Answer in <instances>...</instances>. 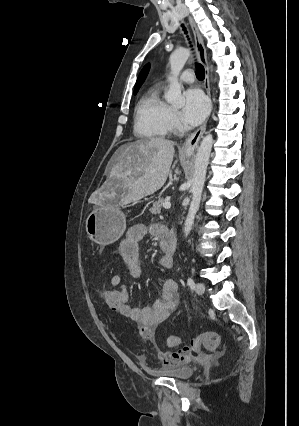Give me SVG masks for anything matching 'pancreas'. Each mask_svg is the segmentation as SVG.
Instances as JSON below:
<instances>
[{"instance_id": "obj_1", "label": "pancreas", "mask_w": 299, "mask_h": 426, "mask_svg": "<svg viewBox=\"0 0 299 426\" xmlns=\"http://www.w3.org/2000/svg\"><path fill=\"white\" fill-rule=\"evenodd\" d=\"M167 201L166 199L159 198L157 201H155L152 205V208H150V213L152 214H160L161 208L163 206V203Z\"/></svg>"}]
</instances>
